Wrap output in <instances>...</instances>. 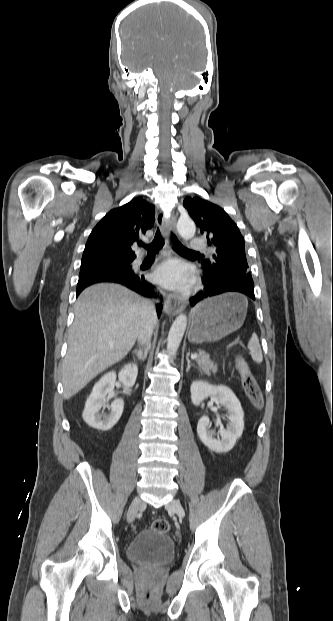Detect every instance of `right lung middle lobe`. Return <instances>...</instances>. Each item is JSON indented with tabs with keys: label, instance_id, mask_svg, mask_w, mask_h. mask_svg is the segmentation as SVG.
Wrapping results in <instances>:
<instances>
[{
	"label": "right lung middle lobe",
	"instance_id": "right-lung-middle-lobe-1",
	"mask_svg": "<svg viewBox=\"0 0 333 621\" xmlns=\"http://www.w3.org/2000/svg\"><path fill=\"white\" fill-rule=\"evenodd\" d=\"M134 258H88L81 260V269L95 266H114L119 268H130Z\"/></svg>",
	"mask_w": 333,
	"mask_h": 621
}]
</instances>
